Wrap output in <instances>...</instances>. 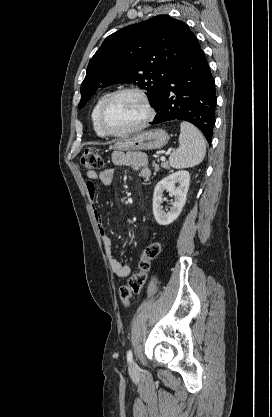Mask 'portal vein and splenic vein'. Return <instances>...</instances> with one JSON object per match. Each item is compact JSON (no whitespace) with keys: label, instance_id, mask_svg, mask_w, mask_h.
<instances>
[{"label":"portal vein and splenic vein","instance_id":"obj_1","mask_svg":"<svg viewBox=\"0 0 272 417\" xmlns=\"http://www.w3.org/2000/svg\"><path fill=\"white\" fill-rule=\"evenodd\" d=\"M161 161H165V156H161Z\"/></svg>","mask_w":272,"mask_h":417}]
</instances>
